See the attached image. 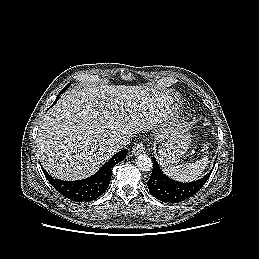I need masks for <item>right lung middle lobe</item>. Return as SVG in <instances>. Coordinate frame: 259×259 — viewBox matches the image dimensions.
<instances>
[{"instance_id": "obj_1", "label": "right lung middle lobe", "mask_w": 259, "mask_h": 259, "mask_svg": "<svg viewBox=\"0 0 259 259\" xmlns=\"http://www.w3.org/2000/svg\"><path fill=\"white\" fill-rule=\"evenodd\" d=\"M69 85L70 84L66 85V87L62 91H65L69 87Z\"/></svg>"}]
</instances>
